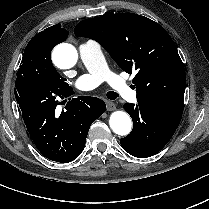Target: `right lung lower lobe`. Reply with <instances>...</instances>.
I'll use <instances>...</instances> for the list:
<instances>
[{"mask_svg": "<svg viewBox=\"0 0 209 209\" xmlns=\"http://www.w3.org/2000/svg\"><path fill=\"white\" fill-rule=\"evenodd\" d=\"M15 87L24 123L40 153L60 163L76 159L84 149L91 124L105 112V103L90 96L69 98L59 115L55 113L58 99L73 94L70 86L61 91L22 79Z\"/></svg>", "mask_w": 209, "mask_h": 209, "instance_id": "right-lung-lower-lobe-1", "label": "right lung lower lobe"}]
</instances>
